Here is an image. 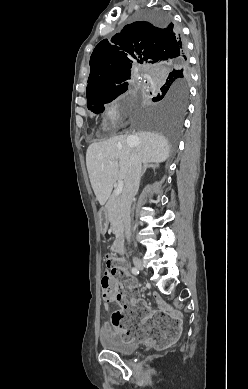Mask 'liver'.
<instances>
[{
	"label": "liver",
	"instance_id": "liver-1",
	"mask_svg": "<svg viewBox=\"0 0 248 389\" xmlns=\"http://www.w3.org/2000/svg\"><path fill=\"white\" fill-rule=\"evenodd\" d=\"M133 152L137 153L144 164H158L169 157V144L158 133L142 131L89 145L86 165L91 186L100 205H104L110 197L114 183L125 180Z\"/></svg>",
	"mask_w": 248,
	"mask_h": 389
}]
</instances>
